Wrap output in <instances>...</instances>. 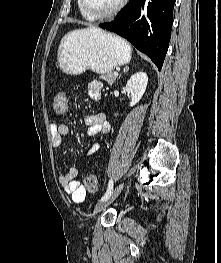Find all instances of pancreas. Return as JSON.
Wrapping results in <instances>:
<instances>
[{
  "label": "pancreas",
  "instance_id": "cf45deb5",
  "mask_svg": "<svg viewBox=\"0 0 221 263\" xmlns=\"http://www.w3.org/2000/svg\"><path fill=\"white\" fill-rule=\"evenodd\" d=\"M99 78L105 80L108 85L112 86L113 83L116 81L117 76H115L112 72H109L106 74H102L101 76H99Z\"/></svg>",
  "mask_w": 221,
  "mask_h": 263
}]
</instances>
